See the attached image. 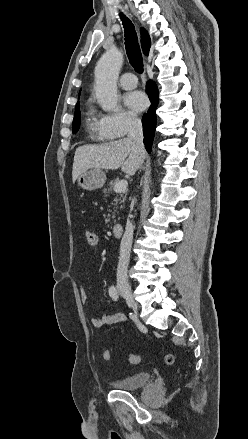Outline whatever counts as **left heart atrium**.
Returning a JSON list of instances; mask_svg holds the SVG:
<instances>
[{"label": "left heart atrium", "mask_w": 248, "mask_h": 439, "mask_svg": "<svg viewBox=\"0 0 248 439\" xmlns=\"http://www.w3.org/2000/svg\"><path fill=\"white\" fill-rule=\"evenodd\" d=\"M125 104L134 112L143 111L147 104V97L142 91H132L124 96Z\"/></svg>", "instance_id": "1"}]
</instances>
